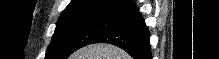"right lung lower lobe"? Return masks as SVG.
<instances>
[{"mask_svg": "<svg viewBox=\"0 0 219 59\" xmlns=\"http://www.w3.org/2000/svg\"><path fill=\"white\" fill-rule=\"evenodd\" d=\"M114 12L125 15L127 19L102 34L94 43L116 45L134 59H151L150 33L132 0L121 3L114 8Z\"/></svg>", "mask_w": 219, "mask_h": 59, "instance_id": "98d812e1", "label": "right lung lower lobe"}]
</instances>
